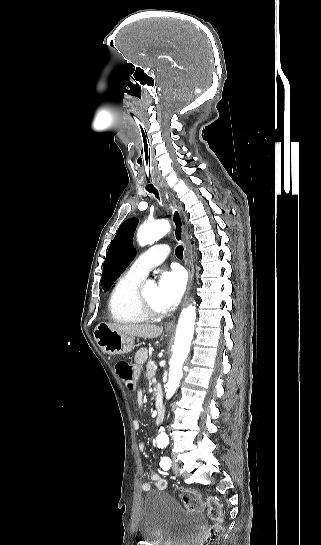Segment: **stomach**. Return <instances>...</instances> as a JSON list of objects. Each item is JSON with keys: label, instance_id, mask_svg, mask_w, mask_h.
<instances>
[{"label": "stomach", "instance_id": "0dacf381", "mask_svg": "<svg viewBox=\"0 0 321 545\" xmlns=\"http://www.w3.org/2000/svg\"><path fill=\"white\" fill-rule=\"evenodd\" d=\"M93 335L102 353H107V355H125L134 349L133 337L120 335L115 329H110L107 323H99L95 327Z\"/></svg>", "mask_w": 321, "mask_h": 545}]
</instances>
